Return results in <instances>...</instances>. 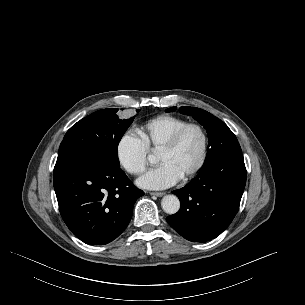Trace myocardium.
<instances>
[{"mask_svg":"<svg viewBox=\"0 0 305 305\" xmlns=\"http://www.w3.org/2000/svg\"><path fill=\"white\" fill-rule=\"evenodd\" d=\"M191 129H196L200 132L203 140V146H202V153L199 162L197 165L190 170L186 175L182 176L184 180L191 179L195 177L197 174L201 172V170L204 168L208 155H209V136L206 131V129L198 123H188L179 130H177L171 137L170 139L161 146L159 149L158 153L160 152H167L175 149L177 145L180 143L181 139L183 136L186 134L187 131Z\"/></svg>","mask_w":305,"mask_h":305,"instance_id":"myocardium-1","label":"myocardium"}]
</instances>
